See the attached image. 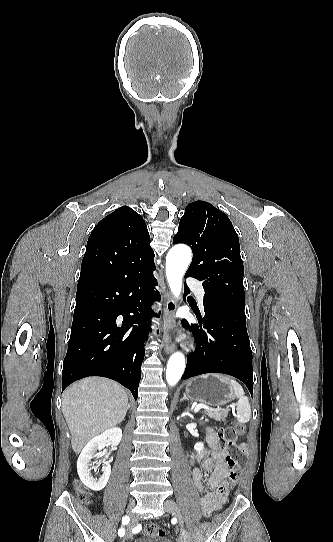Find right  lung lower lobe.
<instances>
[{"instance_id": "right-lung-lower-lobe-1", "label": "right lung lower lobe", "mask_w": 333, "mask_h": 542, "mask_svg": "<svg viewBox=\"0 0 333 542\" xmlns=\"http://www.w3.org/2000/svg\"><path fill=\"white\" fill-rule=\"evenodd\" d=\"M81 270L116 272L120 276L78 282L62 391L81 378L103 376L130 389L136 400L144 343L150 331L146 322L153 315L150 305L160 300V294L153 291L157 285L154 252L86 249Z\"/></svg>"}]
</instances>
